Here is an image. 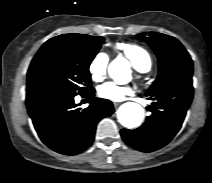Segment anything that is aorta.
Listing matches in <instances>:
<instances>
[{
    "mask_svg": "<svg viewBox=\"0 0 212 183\" xmlns=\"http://www.w3.org/2000/svg\"><path fill=\"white\" fill-rule=\"evenodd\" d=\"M128 62L124 58H116L109 66V74L112 78H116V70H127ZM144 119L143 108L134 102L123 104L118 110L119 122L127 128L138 127Z\"/></svg>",
    "mask_w": 212,
    "mask_h": 183,
    "instance_id": "762f6f07",
    "label": "aorta"
}]
</instances>
